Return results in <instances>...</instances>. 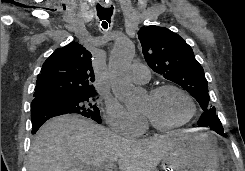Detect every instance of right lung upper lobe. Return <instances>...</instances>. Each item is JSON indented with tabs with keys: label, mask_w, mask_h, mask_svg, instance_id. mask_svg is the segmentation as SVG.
<instances>
[{
	"label": "right lung upper lobe",
	"mask_w": 245,
	"mask_h": 171,
	"mask_svg": "<svg viewBox=\"0 0 245 171\" xmlns=\"http://www.w3.org/2000/svg\"><path fill=\"white\" fill-rule=\"evenodd\" d=\"M91 53L77 42L57 48L37 76L34 100L53 95H82L96 92Z\"/></svg>",
	"instance_id": "1"
}]
</instances>
